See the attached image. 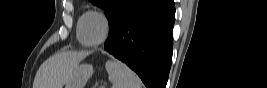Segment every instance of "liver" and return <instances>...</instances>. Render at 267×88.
I'll list each match as a JSON object with an SVG mask.
<instances>
[{"label": "liver", "mask_w": 267, "mask_h": 88, "mask_svg": "<svg viewBox=\"0 0 267 88\" xmlns=\"http://www.w3.org/2000/svg\"><path fill=\"white\" fill-rule=\"evenodd\" d=\"M88 52H61L49 57L36 73L33 88H62Z\"/></svg>", "instance_id": "1"}]
</instances>
